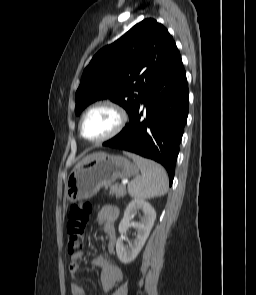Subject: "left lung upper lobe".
Wrapping results in <instances>:
<instances>
[{
  "mask_svg": "<svg viewBox=\"0 0 256 295\" xmlns=\"http://www.w3.org/2000/svg\"><path fill=\"white\" fill-rule=\"evenodd\" d=\"M180 60L167 29L151 18L141 21L97 52L85 68L76 92V115L90 103L110 98L121 105L130 118L147 92Z\"/></svg>",
  "mask_w": 256,
  "mask_h": 295,
  "instance_id": "obj_1",
  "label": "left lung upper lobe"
}]
</instances>
